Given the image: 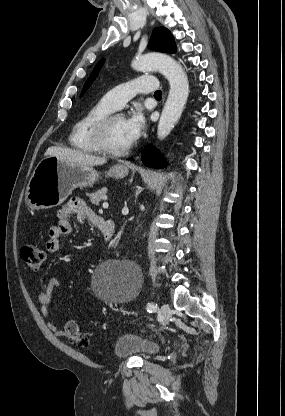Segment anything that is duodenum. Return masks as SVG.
<instances>
[{
  "instance_id": "410a0bca",
  "label": "duodenum",
  "mask_w": 285,
  "mask_h": 416,
  "mask_svg": "<svg viewBox=\"0 0 285 416\" xmlns=\"http://www.w3.org/2000/svg\"><path fill=\"white\" fill-rule=\"evenodd\" d=\"M94 224L100 229L103 241L109 243L115 233L116 224L113 220H103L96 218Z\"/></svg>"
}]
</instances>
